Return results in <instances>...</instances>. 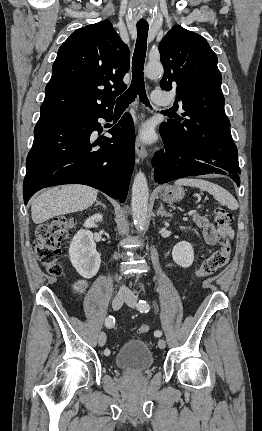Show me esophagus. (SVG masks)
<instances>
[{
	"instance_id": "34e87169",
	"label": "esophagus",
	"mask_w": 262,
	"mask_h": 431,
	"mask_svg": "<svg viewBox=\"0 0 262 431\" xmlns=\"http://www.w3.org/2000/svg\"><path fill=\"white\" fill-rule=\"evenodd\" d=\"M135 151L139 160H144L147 157V149L138 136L136 137L135 141Z\"/></svg>"
}]
</instances>
